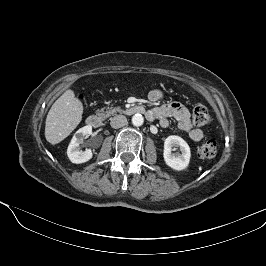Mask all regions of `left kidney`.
Wrapping results in <instances>:
<instances>
[{"instance_id": "1", "label": "left kidney", "mask_w": 266, "mask_h": 266, "mask_svg": "<svg viewBox=\"0 0 266 266\" xmlns=\"http://www.w3.org/2000/svg\"><path fill=\"white\" fill-rule=\"evenodd\" d=\"M172 147H179L180 153H172ZM163 157L166 165L181 171L188 167L191 152L187 142L179 136L171 135L165 139Z\"/></svg>"}]
</instances>
